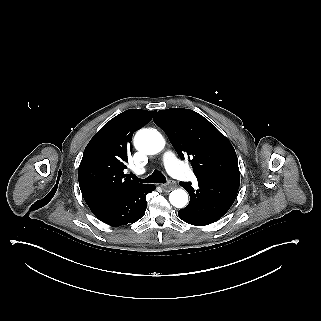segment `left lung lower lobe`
Instances as JSON below:
<instances>
[{
    "label": "left lung lower lobe",
    "instance_id": "left-lung-lower-lobe-1",
    "mask_svg": "<svg viewBox=\"0 0 321 321\" xmlns=\"http://www.w3.org/2000/svg\"><path fill=\"white\" fill-rule=\"evenodd\" d=\"M199 187L179 182L190 195V202L179 210L181 220L191 225H208L220 219L232 206L240 185V174H217L197 178Z\"/></svg>",
    "mask_w": 321,
    "mask_h": 321
}]
</instances>
